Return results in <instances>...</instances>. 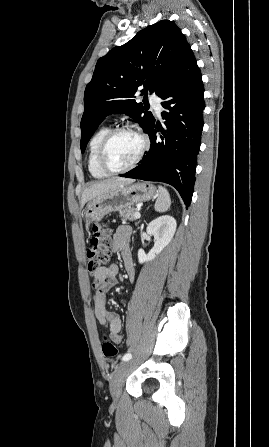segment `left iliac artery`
<instances>
[{
  "instance_id": "1",
  "label": "left iliac artery",
  "mask_w": 269,
  "mask_h": 447,
  "mask_svg": "<svg viewBox=\"0 0 269 447\" xmlns=\"http://www.w3.org/2000/svg\"><path fill=\"white\" fill-rule=\"evenodd\" d=\"M132 355L130 353H127L123 356L122 360L123 361H128L129 359H131Z\"/></svg>"
}]
</instances>
